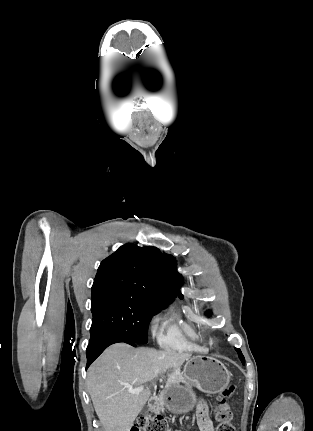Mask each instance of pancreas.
Segmentation results:
<instances>
[{
    "label": "pancreas",
    "mask_w": 313,
    "mask_h": 431,
    "mask_svg": "<svg viewBox=\"0 0 313 431\" xmlns=\"http://www.w3.org/2000/svg\"><path fill=\"white\" fill-rule=\"evenodd\" d=\"M175 380L178 383H184L185 385H187L185 378L181 374ZM164 404H165L164 400L160 398L159 401L157 402L158 409H160L161 411H164Z\"/></svg>",
    "instance_id": "1"
}]
</instances>
